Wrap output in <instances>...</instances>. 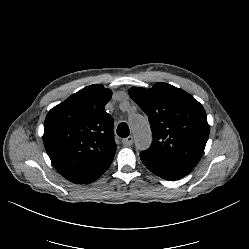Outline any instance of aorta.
Returning a JSON list of instances; mask_svg holds the SVG:
<instances>
[{
    "label": "aorta",
    "mask_w": 249,
    "mask_h": 249,
    "mask_svg": "<svg viewBox=\"0 0 249 249\" xmlns=\"http://www.w3.org/2000/svg\"><path fill=\"white\" fill-rule=\"evenodd\" d=\"M129 124L133 132L136 148L140 151L147 149L152 142V133L148 122L143 116L134 115L130 117Z\"/></svg>",
    "instance_id": "obj_1"
}]
</instances>
